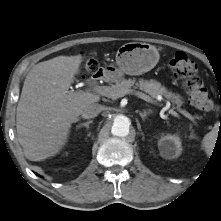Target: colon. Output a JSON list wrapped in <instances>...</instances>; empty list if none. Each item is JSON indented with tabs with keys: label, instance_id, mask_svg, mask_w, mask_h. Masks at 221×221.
I'll return each instance as SVG.
<instances>
[{
	"label": "colon",
	"instance_id": "5ec220e1",
	"mask_svg": "<svg viewBox=\"0 0 221 221\" xmlns=\"http://www.w3.org/2000/svg\"><path fill=\"white\" fill-rule=\"evenodd\" d=\"M84 77L99 70L98 61L94 56H88L83 64ZM170 67L187 93L190 103L198 110L209 112L214 109V102L203 81L198 76L197 65L185 53L177 52L170 61Z\"/></svg>",
	"mask_w": 221,
	"mask_h": 221
}]
</instances>
